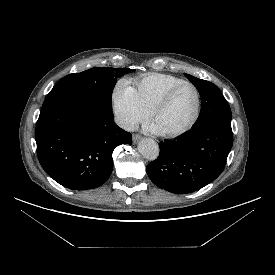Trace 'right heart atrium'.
Wrapping results in <instances>:
<instances>
[{
  "instance_id": "obj_1",
  "label": "right heart atrium",
  "mask_w": 275,
  "mask_h": 275,
  "mask_svg": "<svg viewBox=\"0 0 275 275\" xmlns=\"http://www.w3.org/2000/svg\"><path fill=\"white\" fill-rule=\"evenodd\" d=\"M113 110L119 125L131 129L149 116V111L141 103L136 89L127 81H119L112 93Z\"/></svg>"
}]
</instances>
